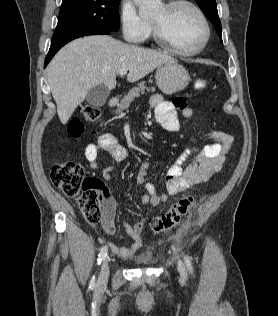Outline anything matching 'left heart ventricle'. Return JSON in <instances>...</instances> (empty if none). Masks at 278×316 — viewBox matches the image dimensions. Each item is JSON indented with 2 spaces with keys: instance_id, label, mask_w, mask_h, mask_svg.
<instances>
[{
  "instance_id": "left-heart-ventricle-1",
  "label": "left heart ventricle",
  "mask_w": 278,
  "mask_h": 316,
  "mask_svg": "<svg viewBox=\"0 0 278 316\" xmlns=\"http://www.w3.org/2000/svg\"><path fill=\"white\" fill-rule=\"evenodd\" d=\"M151 21L161 25L173 42L183 49L198 47L205 35L201 20L188 6H180L172 12L162 6Z\"/></svg>"
}]
</instances>
